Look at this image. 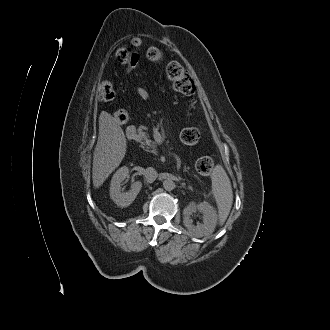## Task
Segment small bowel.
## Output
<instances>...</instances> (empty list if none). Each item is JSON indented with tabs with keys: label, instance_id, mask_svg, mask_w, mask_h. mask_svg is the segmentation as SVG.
<instances>
[{
	"label": "small bowel",
	"instance_id": "small-bowel-1",
	"mask_svg": "<svg viewBox=\"0 0 330 330\" xmlns=\"http://www.w3.org/2000/svg\"><path fill=\"white\" fill-rule=\"evenodd\" d=\"M132 45L135 47H139L141 45V40L139 38H133ZM122 64L125 66V71L129 73V72L133 71L134 69H136V67L138 65V56L134 55L128 61L122 62ZM136 93H137L138 97L144 101L148 100L150 97L149 91L145 87H138L136 90ZM128 118H129V115H128ZM127 121H128V119L124 122H120V121L119 122L125 123Z\"/></svg>",
	"mask_w": 330,
	"mask_h": 330
}]
</instances>
